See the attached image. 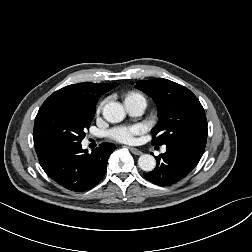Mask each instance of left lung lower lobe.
Returning <instances> with one entry per match:
<instances>
[{
  "label": "left lung lower lobe",
  "instance_id": "left-lung-lower-lobe-1",
  "mask_svg": "<svg viewBox=\"0 0 252 252\" xmlns=\"http://www.w3.org/2000/svg\"><path fill=\"white\" fill-rule=\"evenodd\" d=\"M206 143L182 140L166 145L167 151L156 157L157 165L144 177L162 186L172 185L186 177L201 159Z\"/></svg>",
  "mask_w": 252,
  "mask_h": 252
}]
</instances>
